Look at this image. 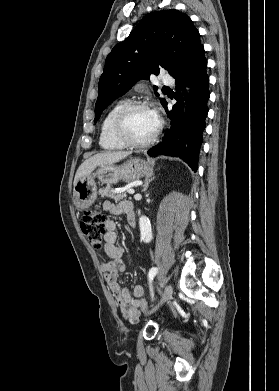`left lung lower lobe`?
I'll list each match as a JSON object with an SVG mask.
<instances>
[{"label": "left lung lower lobe", "mask_w": 279, "mask_h": 391, "mask_svg": "<svg viewBox=\"0 0 279 391\" xmlns=\"http://www.w3.org/2000/svg\"><path fill=\"white\" fill-rule=\"evenodd\" d=\"M206 67L207 60L202 46L189 67L175 78L177 103L170 111L167 102L163 105L171 119V128L166 131L161 143L148 150L150 156L163 154L180 157L193 171H197L199 150L203 141L202 134L209 110L207 107L210 96L209 77ZM187 78L191 87L189 96L185 92L184 81Z\"/></svg>", "instance_id": "obj_1"}]
</instances>
